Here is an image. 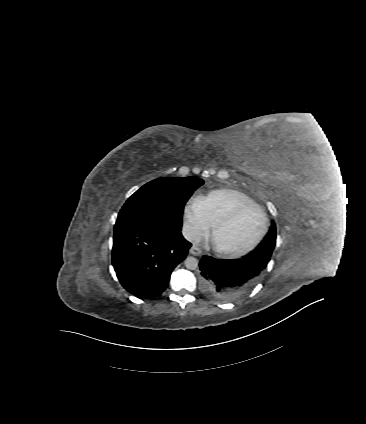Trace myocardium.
I'll return each mask as SVG.
<instances>
[{
  "label": "myocardium",
  "instance_id": "obj_1",
  "mask_svg": "<svg viewBox=\"0 0 366 424\" xmlns=\"http://www.w3.org/2000/svg\"><path fill=\"white\" fill-rule=\"evenodd\" d=\"M250 208H255V209L259 210L262 214V217H263V227H262L261 232L257 236V238L253 242H251L249 245H247L243 248H240V249H228V248H224V247L219 246L215 241V235H216L217 231L221 227L232 222L240 213H242L243 211L250 209ZM268 225H269V219H268L267 213L265 212V210L260 205L254 204V203L239 205V206L235 207L234 209H232L229 213H227L226 215H224L223 217L218 219L213 224V228H212V232H211V238H212L213 246H214L215 250L223 256H229V257L242 256V255L252 251L254 248H256L261 243V241L264 239V237L267 233Z\"/></svg>",
  "mask_w": 366,
  "mask_h": 424
}]
</instances>
